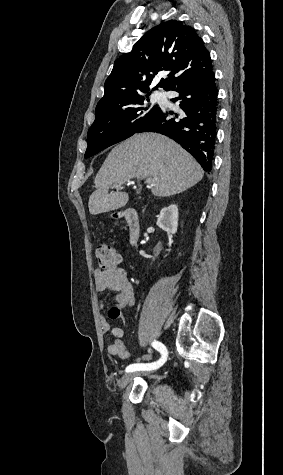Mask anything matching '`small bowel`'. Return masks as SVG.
Segmentation results:
<instances>
[{"label": "small bowel", "instance_id": "1", "mask_svg": "<svg viewBox=\"0 0 283 475\" xmlns=\"http://www.w3.org/2000/svg\"><path fill=\"white\" fill-rule=\"evenodd\" d=\"M94 285L97 292L112 291L114 293V306L109 311L110 322L105 316V303H99L100 309V326L104 334H110L114 339L107 345V353L119 359H129L131 357L130 350L124 343L123 329L124 323L121 317V311L125 307H133L135 305V297L133 287L128 279L126 271L118 266L107 268H96L93 270Z\"/></svg>", "mask_w": 283, "mask_h": 475}]
</instances>
